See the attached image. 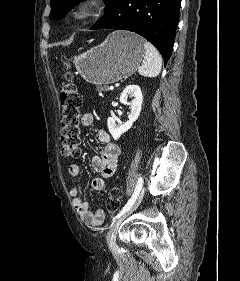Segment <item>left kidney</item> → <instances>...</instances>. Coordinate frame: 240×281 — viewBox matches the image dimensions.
I'll return each mask as SVG.
<instances>
[{
  "mask_svg": "<svg viewBox=\"0 0 240 281\" xmlns=\"http://www.w3.org/2000/svg\"><path fill=\"white\" fill-rule=\"evenodd\" d=\"M128 97L133 98V100L128 102ZM142 101L143 95L138 85H129L123 90L120 96V102L124 105H128L131 113L128 116L129 120L123 125H117L113 117L108 118V129L115 140H118L123 133L127 132L138 119L142 108Z\"/></svg>",
  "mask_w": 240,
  "mask_h": 281,
  "instance_id": "1",
  "label": "left kidney"
}]
</instances>
